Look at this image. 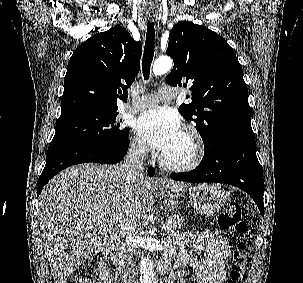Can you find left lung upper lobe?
Instances as JSON below:
<instances>
[{
  "mask_svg": "<svg viewBox=\"0 0 303 283\" xmlns=\"http://www.w3.org/2000/svg\"><path fill=\"white\" fill-rule=\"evenodd\" d=\"M166 54L174 61L166 82L190 87L192 102L179 110L196 124L205 150L229 134H254L242 66L224 38L183 21L170 31Z\"/></svg>",
  "mask_w": 303,
  "mask_h": 283,
  "instance_id": "obj_1",
  "label": "left lung upper lobe"
}]
</instances>
